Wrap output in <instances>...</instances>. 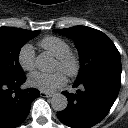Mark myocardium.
<instances>
[{
    "mask_svg": "<svg viewBox=\"0 0 128 128\" xmlns=\"http://www.w3.org/2000/svg\"><path fill=\"white\" fill-rule=\"evenodd\" d=\"M61 70L69 77L78 75L81 68L79 55L72 50H68L63 56L57 58Z\"/></svg>",
    "mask_w": 128,
    "mask_h": 128,
    "instance_id": "myocardium-1",
    "label": "myocardium"
}]
</instances>
